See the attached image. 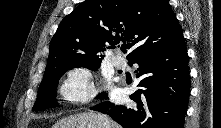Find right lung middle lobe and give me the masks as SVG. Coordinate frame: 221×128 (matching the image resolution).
<instances>
[{"label": "right lung middle lobe", "mask_w": 221, "mask_h": 128, "mask_svg": "<svg viewBox=\"0 0 221 128\" xmlns=\"http://www.w3.org/2000/svg\"><path fill=\"white\" fill-rule=\"evenodd\" d=\"M102 60H80L73 59L63 63L47 66L43 80L38 90V96L34 104V111H40L47 108L58 106L56 103V89L60 77L68 70L76 67H86L92 70H97ZM104 96L99 95V98Z\"/></svg>", "instance_id": "1"}]
</instances>
